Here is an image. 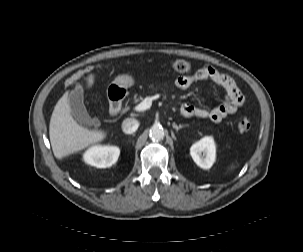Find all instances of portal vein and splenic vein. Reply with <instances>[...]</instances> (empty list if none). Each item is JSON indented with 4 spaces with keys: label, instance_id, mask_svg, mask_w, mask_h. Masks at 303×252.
<instances>
[{
    "label": "portal vein and splenic vein",
    "instance_id": "1",
    "mask_svg": "<svg viewBox=\"0 0 303 252\" xmlns=\"http://www.w3.org/2000/svg\"><path fill=\"white\" fill-rule=\"evenodd\" d=\"M152 105V98L147 97L141 103L134 107V111L142 112L149 109Z\"/></svg>",
    "mask_w": 303,
    "mask_h": 252
}]
</instances>
